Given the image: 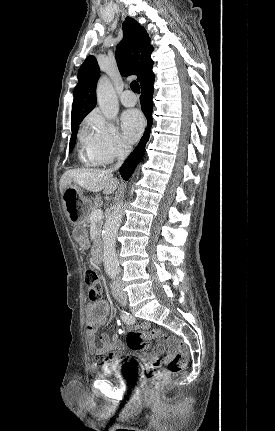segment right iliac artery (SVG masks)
I'll use <instances>...</instances> for the list:
<instances>
[{
	"mask_svg": "<svg viewBox=\"0 0 275 431\" xmlns=\"http://www.w3.org/2000/svg\"><path fill=\"white\" fill-rule=\"evenodd\" d=\"M121 318L128 325H132L135 323V318L126 311H122Z\"/></svg>",
	"mask_w": 275,
	"mask_h": 431,
	"instance_id": "82829eb1",
	"label": "right iliac artery"
}]
</instances>
